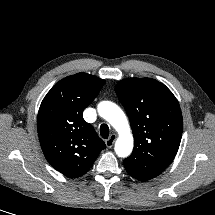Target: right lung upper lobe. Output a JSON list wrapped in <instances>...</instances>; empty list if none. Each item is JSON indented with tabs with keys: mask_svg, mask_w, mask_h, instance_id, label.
Instances as JSON below:
<instances>
[{
	"mask_svg": "<svg viewBox=\"0 0 215 215\" xmlns=\"http://www.w3.org/2000/svg\"><path fill=\"white\" fill-rule=\"evenodd\" d=\"M104 83L87 73L68 76L52 87L39 108L37 129L43 153L67 177L82 176L106 148L82 116Z\"/></svg>",
	"mask_w": 215,
	"mask_h": 215,
	"instance_id": "1",
	"label": "right lung upper lobe"
}]
</instances>
